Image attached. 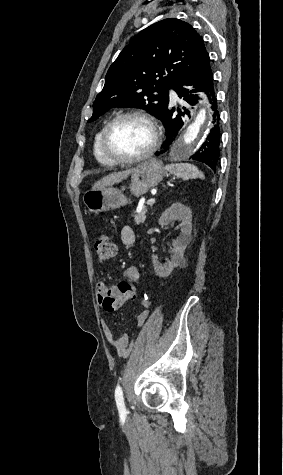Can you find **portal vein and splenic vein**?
Returning a JSON list of instances; mask_svg holds the SVG:
<instances>
[{
    "mask_svg": "<svg viewBox=\"0 0 283 475\" xmlns=\"http://www.w3.org/2000/svg\"><path fill=\"white\" fill-rule=\"evenodd\" d=\"M152 204H155V198H151V200H147V206H152ZM139 206H143L142 202L139 204Z\"/></svg>",
    "mask_w": 283,
    "mask_h": 475,
    "instance_id": "obj_1",
    "label": "portal vein and splenic vein"
}]
</instances>
